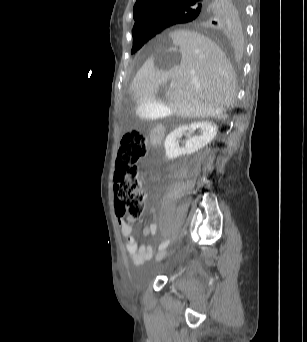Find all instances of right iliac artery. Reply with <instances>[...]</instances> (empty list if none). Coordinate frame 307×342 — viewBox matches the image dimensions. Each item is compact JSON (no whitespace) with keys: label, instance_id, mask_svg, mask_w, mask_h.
Wrapping results in <instances>:
<instances>
[{"label":"right iliac artery","instance_id":"right-iliac-artery-1","mask_svg":"<svg viewBox=\"0 0 307 342\" xmlns=\"http://www.w3.org/2000/svg\"><path fill=\"white\" fill-rule=\"evenodd\" d=\"M169 242H170V240H166V241L162 242L159 246V250L166 248L168 246Z\"/></svg>","mask_w":307,"mask_h":342}]
</instances>
